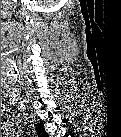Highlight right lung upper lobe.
<instances>
[{"mask_svg": "<svg viewBox=\"0 0 121 137\" xmlns=\"http://www.w3.org/2000/svg\"><path fill=\"white\" fill-rule=\"evenodd\" d=\"M37 130H39L41 133L44 132L42 123L38 125Z\"/></svg>", "mask_w": 121, "mask_h": 137, "instance_id": "right-lung-upper-lobe-1", "label": "right lung upper lobe"}]
</instances>
